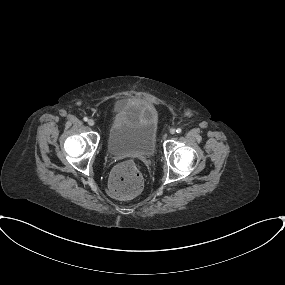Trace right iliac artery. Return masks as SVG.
Listing matches in <instances>:
<instances>
[{
	"label": "right iliac artery",
	"mask_w": 285,
	"mask_h": 285,
	"mask_svg": "<svg viewBox=\"0 0 285 285\" xmlns=\"http://www.w3.org/2000/svg\"><path fill=\"white\" fill-rule=\"evenodd\" d=\"M83 120H84L85 122H87V121H88V118H87V117H84Z\"/></svg>",
	"instance_id": "82829eb1"
}]
</instances>
